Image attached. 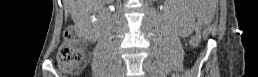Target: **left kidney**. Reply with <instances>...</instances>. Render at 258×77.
Wrapping results in <instances>:
<instances>
[{
    "mask_svg": "<svg viewBox=\"0 0 258 77\" xmlns=\"http://www.w3.org/2000/svg\"><path fill=\"white\" fill-rule=\"evenodd\" d=\"M184 20L190 21L189 12L187 11L186 14L184 13Z\"/></svg>",
    "mask_w": 258,
    "mask_h": 77,
    "instance_id": "1",
    "label": "left kidney"
}]
</instances>
